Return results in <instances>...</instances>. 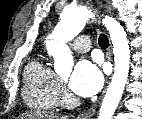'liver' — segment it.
<instances>
[{
	"instance_id": "6515ba94",
	"label": "liver",
	"mask_w": 142,
	"mask_h": 119,
	"mask_svg": "<svg viewBox=\"0 0 142 119\" xmlns=\"http://www.w3.org/2000/svg\"><path fill=\"white\" fill-rule=\"evenodd\" d=\"M21 119H68L67 116H59L53 113L29 112L21 116Z\"/></svg>"
}]
</instances>
